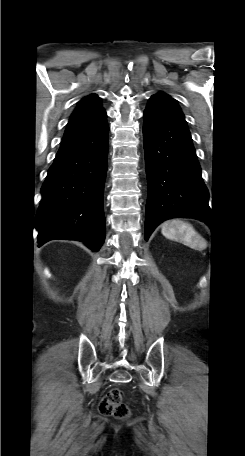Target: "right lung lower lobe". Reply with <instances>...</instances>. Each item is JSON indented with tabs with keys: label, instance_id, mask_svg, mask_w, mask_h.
<instances>
[{
	"label": "right lung lower lobe",
	"instance_id": "1",
	"mask_svg": "<svg viewBox=\"0 0 245 456\" xmlns=\"http://www.w3.org/2000/svg\"><path fill=\"white\" fill-rule=\"evenodd\" d=\"M108 125L83 147L58 152L41 192L36 215L38 246L50 240H79L97 252L105 238L103 212Z\"/></svg>",
	"mask_w": 245,
	"mask_h": 456
}]
</instances>
